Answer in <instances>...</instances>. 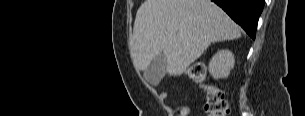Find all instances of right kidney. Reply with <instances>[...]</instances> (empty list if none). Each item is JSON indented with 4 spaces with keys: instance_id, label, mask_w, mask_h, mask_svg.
Segmentation results:
<instances>
[{
    "instance_id": "right-kidney-1",
    "label": "right kidney",
    "mask_w": 305,
    "mask_h": 116,
    "mask_svg": "<svg viewBox=\"0 0 305 116\" xmlns=\"http://www.w3.org/2000/svg\"><path fill=\"white\" fill-rule=\"evenodd\" d=\"M235 64L234 55L229 50L217 52L209 63V72L215 78H227Z\"/></svg>"
}]
</instances>
